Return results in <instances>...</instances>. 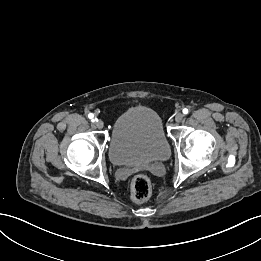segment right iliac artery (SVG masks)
Returning a JSON list of instances; mask_svg holds the SVG:
<instances>
[{
    "label": "right iliac artery",
    "mask_w": 261,
    "mask_h": 261,
    "mask_svg": "<svg viewBox=\"0 0 261 261\" xmlns=\"http://www.w3.org/2000/svg\"><path fill=\"white\" fill-rule=\"evenodd\" d=\"M88 118L91 119V121L94 123L95 121H97V119H93L94 115L92 113L88 114Z\"/></svg>",
    "instance_id": "82829eb1"
}]
</instances>
